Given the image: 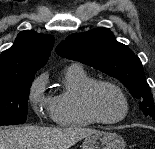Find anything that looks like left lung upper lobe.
Instances as JSON below:
<instances>
[{"label": "left lung upper lobe", "mask_w": 155, "mask_h": 149, "mask_svg": "<svg viewBox=\"0 0 155 149\" xmlns=\"http://www.w3.org/2000/svg\"><path fill=\"white\" fill-rule=\"evenodd\" d=\"M56 53L117 78L140 100L144 116L155 120L153 95L140 59L128 46L117 42L109 29L72 34L57 46Z\"/></svg>", "instance_id": "obj_1"}]
</instances>
